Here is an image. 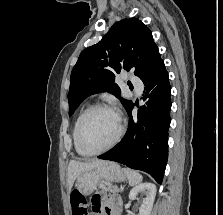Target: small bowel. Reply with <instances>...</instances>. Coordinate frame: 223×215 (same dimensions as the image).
<instances>
[{"instance_id": "1", "label": "small bowel", "mask_w": 223, "mask_h": 215, "mask_svg": "<svg viewBox=\"0 0 223 215\" xmlns=\"http://www.w3.org/2000/svg\"><path fill=\"white\" fill-rule=\"evenodd\" d=\"M91 203L94 215H120V201L115 196L102 192L95 193Z\"/></svg>"}]
</instances>
